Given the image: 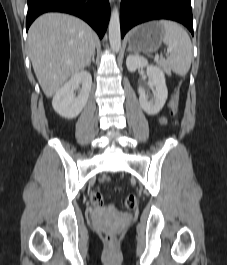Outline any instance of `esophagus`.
I'll list each match as a JSON object with an SVG mask.
<instances>
[{
    "mask_svg": "<svg viewBox=\"0 0 227 265\" xmlns=\"http://www.w3.org/2000/svg\"><path fill=\"white\" fill-rule=\"evenodd\" d=\"M110 2H114L115 0H109Z\"/></svg>",
    "mask_w": 227,
    "mask_h": 265,
    "instance_id": "34e87169",
    "label": "esophagus"
}]
</instances>
